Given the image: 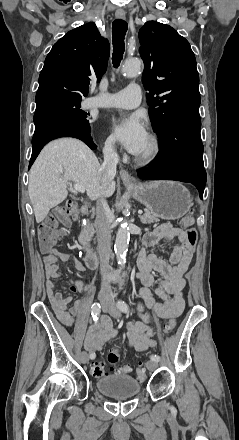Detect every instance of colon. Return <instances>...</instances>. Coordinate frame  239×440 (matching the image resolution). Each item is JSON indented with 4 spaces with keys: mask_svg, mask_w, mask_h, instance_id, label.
Instances as JSON below:
<instances>
[{
    "mask_svg": "<svg viewBox=\"0 0 239 440\" xmlns=\"http://www.w3.org/2000/svg\"><path fill=\"white\" fill-rule=\"evenodd\" d=\"M77 217V205L75 202L70 201L65 205L57 207L54 212L49 215L43 222L40 229V245L43 251H49L53 245L57 242L61 236V230L58 228L57 221L64 224H68L71 220ZM194 215L192 212L187 213L181 220V226L186 230V238L190 245L194 246L197 241V231L193 228ZM176 326V320L170 319L165 324V332L171 334ZM119 360V349L113 347L108 354V362L111 367L110 370L118 373H126L130 371V367L127 365L117 366ZM90 372L94 377H102L107 375L108 371L103 364L99 362H93L90 366ZM136 376L138 380L145 378V370L142 367H138L136 370Z\"/></svg>",
    "mask_w": 239,
    "mask_h": 440,
    "instance_id": "colon-1",
    "label": "colon"
}]
</instances>
